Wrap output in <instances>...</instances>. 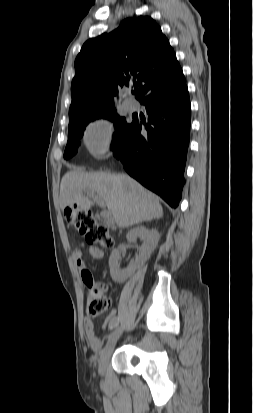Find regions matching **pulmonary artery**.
<instances>
[{"label":"pulmonary artery","instance_id":"obj_1","mask_svg":"<svg viewBox=\"0 0 253 413\" xmlns=\"http://www.w3.org/2000/svg\"><path fill=\"white\" fill-rule=\"evenodd\" d=\"M124 104H125V107L127 108V110H129L131 112L136 111L139 108L138 102L131 99V98L126 99Z\"/></svg>","mask_w":253,"mask_h":413}]
</instances>
